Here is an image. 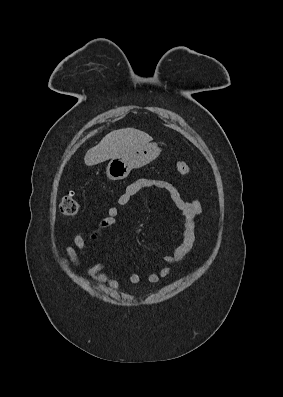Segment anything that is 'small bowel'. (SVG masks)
<instances>
[{"mask_svg":"<svg viewBox=\"0 0 283 397\" xmlns=\"http://www.w3.org/2000/svg\"><path fill=\"white\" fill-rule=\"evenodd\" d=\"M145 188H154L167 192L183 216L184 228L182 241L171 255H166L164 257V261L169 265L177 264L181 262L193 248L195 242L196 219L201 216L202 207L198 201L184 200L176 185L169 181L140 178L128 185L125 192L118 198L116 204L107 210L106 215H99L97 217L99 223L97 228L92 232L91 239L97 240L102 230L114 225L116 218L120 214L121 207L128 204L139 191ZM77 250L87 257L86 239L82 232L76 233L73 238V244H68L66 246L67 255L75 266H79ZM104 269V263H92L88 269L83 271V274L97 283L107 285L111 289L117 290L119 288V282L111 275L105 273ZM170 274L171 268L165 266L158 272L148 274L146 281L150 284H157L162 279L169 277ZM128 280L133 285H137L141 282L140 276L136 273L130 274Z\"/></svg>","mask_w":283,"mask_h":397,"instance_id":"small-bowel-1","label":"small bowel"}]
</instances>
